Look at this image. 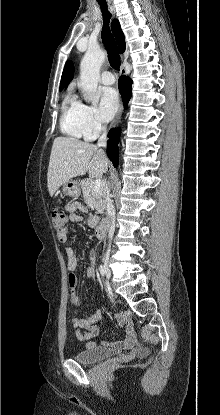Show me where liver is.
Returning <instances> with one entry per match:
<instances>
[{
    "mask_svg": "<svg viewBox=\"0 0 220 415\" xmlns=\"http://www.w3.org/2000/svg\"><path fill=\"white\" fill-rule=\"evenodd\" d=\"M109 165L105 152L96 145L73 137L54 139L47 173L50 196L71 178L85 175L102 177Z\"/></svg>",
    "mask_w": 220,
    "mask_h": 415,
    "instance_id": "6515ba94",
    "label": "liver"
}]
</instances>
